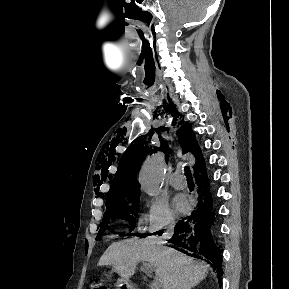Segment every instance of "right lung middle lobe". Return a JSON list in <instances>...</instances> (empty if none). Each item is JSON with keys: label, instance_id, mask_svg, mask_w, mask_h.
Segmentation results:
<instances>
[{"label": "right lung middle lobe", "instance_id": "dd1d6c3e", "mask_svg": "<svg viewBox=\"0 0 289 289\" xmlns=\"http://www.w3.org/2000/svg\"><path fill=\"white\" fill-rule=\"evenodd\" d=\"M139 197L140 195L138 194L131 198L106 205V212L104 213L103 222L97 237L99 238L101 236L106 230L109 220L114 217L129 221L131 229H134V215H136L138 211Z\"/></svg>", "mask_w": 289, "mask_h": 289}]
</instances>
